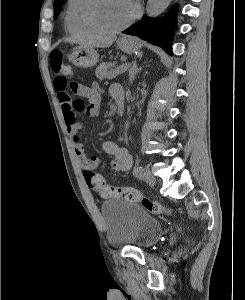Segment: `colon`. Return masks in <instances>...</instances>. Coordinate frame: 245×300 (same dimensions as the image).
Listing matches in <instances>:
<instances>
[{"label": "colon", "mask_w": 245, "mask_h": 300, "mask_svg": "<svg viewBox=\"0 0 245 300\" xmlns=\"http://www.w3.org/2000/svg\"><path fill=\"white\" fill-rule=\"evenodd\" d=\"M50 66L57 75L65 79H67V76L71 73V69L65 63L64 54L61 51L55 50L51 52ZM74 107L77 110H82L85 104L82 100H75ZM87 184L91 189L97 191L105 198H118L129 202L140 203L144 208L154 214L169 213V210L162 204L144 196L140 190L133 187H116L109 185L100 174H88Z\"/></svg>", "instance_id": "obj_1"}]
</instances>
